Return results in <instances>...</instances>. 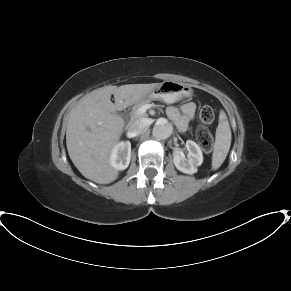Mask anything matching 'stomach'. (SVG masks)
Listing matches in <instances>:
<instances>
[{"mask_svg": "<svg viewBox=\"0 0 291 291\" xmlns=\"http://www.w3.org/2000/svg\"><path fill=\"white\" fill-rule=\"evenodd\" d=\"M191 94L192 89L185 84L174 81H164L156 85L148 94V97L151 99L161 98L164 101L171 103L179 97L190 96Z\"/></svg>", "mask_w": 291, "mask_h": 291, "instance_id": "obj_1", "label": "stomach"}]
</instances>
